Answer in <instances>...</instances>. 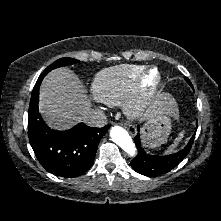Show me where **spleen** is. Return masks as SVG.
I'll use <instances>...</instances> for the list:
<instances>
[{
	"mask_svg": "<svg viewBox=\"0 0 221 221\" xmlns=\"http://www.w3.org/2000/svg\"><path fill=\"white\" fill-rule=\"evenodd\" d=\"M184 137V131L180 132V134L178 135V137L175 139V141L173 142V144H171L166 153L169 152H173L175 150V148L178 146L179 142L182 140V138Z\"/></svg>",
	"mask_w": 221,
	"mask_h": 221,
	"instance_id": "1",
	"label": "spleen"
}]
</instances>
